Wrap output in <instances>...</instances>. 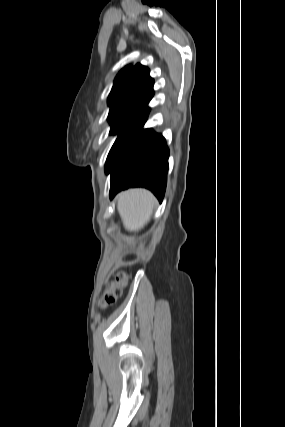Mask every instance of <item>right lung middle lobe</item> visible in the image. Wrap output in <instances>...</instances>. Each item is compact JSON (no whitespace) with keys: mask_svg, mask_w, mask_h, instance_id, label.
Wrapping results in <instances>:
<instances>
[{"mask_svg":"<svg viewBox=\"0 0 285 427\" xmlns=\"http://www.w3.org/2000/svg\"><path fill=\"white\" fill-rule=\"evenodd\" d=\"M145 115V113H136L120 114L108 117V120L111 124L110 134H118V137L107 157L105 165L106 171L114 164L122 147L141 124Z\"/></svg>","mask_w":285,"mask_h":427,"instance_id":"obj_1","label":"right lung middle lobe"}]
</instances>
